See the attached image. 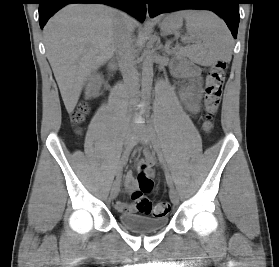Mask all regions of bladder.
<instances>
[{"mask_svg": "<svg viewBox=\"0 0 279 267\" xmlns=\"http://www.w3.org/2000/svg\"><path fill=\"white\" fill-rule=\"evenodd\" d=\"M119 221L125 228L135 232H155L167 225L168 218L166 216L149 217L130 212L121 213Z\"/></svg>", "mask_w": 279, "mask_h": 267, "instance_id": "1", "label": "bladder"}]
</instances>
